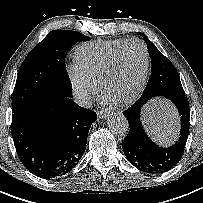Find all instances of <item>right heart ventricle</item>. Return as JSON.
I'll return each instance as SVG.
<instances>
[{
    "label": "right heart ventricle",
    "mask_w": 203,
    "mask_h": 203,
    "mask_svg": "<svg viewBox=\"0 0 203 203\" xmlns=\"http://www.w3.org/2000/svg\"><path fill=\"white\" fill-rule=\"evenodd\" d=\"M127 39L96 41L81 45L75 51L78 67L94 81H100L101 75L116 49Z\"/></svg>",
    "instance_id": "e07e8e85"
}]
</instances>
